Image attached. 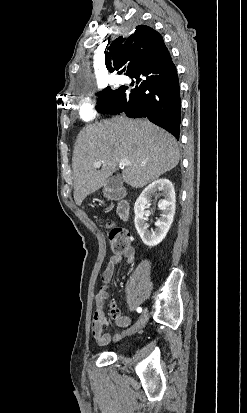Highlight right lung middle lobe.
Masks as SVG:
<instances>
[{"label":"right lung middle lobe","mask_w":247,"mask_h":413,"mask_svg":"<svg viewBox=\"0 0 247 413\" xmlns=\"http://www.w3.org/2000/svg\"><path fill=\"white\" fill-rule=\"evenodd\" d=\"M119 90H120V88L117 89V90H112L110 87H107L102 92H100L98 94L100 100H98V102H97L96 109L100 113H105L107 108L109 107L110 103L115 98L116 94L119 92Z\"/></svg>","instance_id":"1"}]
</instances>
